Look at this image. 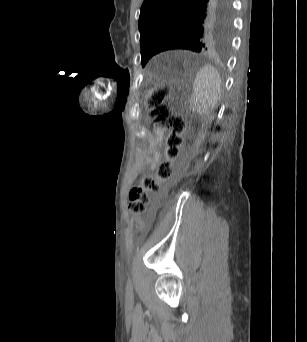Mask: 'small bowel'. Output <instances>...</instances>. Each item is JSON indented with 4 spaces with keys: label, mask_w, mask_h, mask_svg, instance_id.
Here are the masks:
<instances>
[{
    "label": "small bowel",
    "mask_w": 307,
    "mask_h": 342,
    "mask_svg": "<svg viewBox=\"0 0 307 342\" xmlns=\"http://www.w3.org/2000/svg\"><path fill=\"white\" fill-rule=\"evenodd\" d=\"M155 134H156V137H155L154 143H155V145H158L163 140L164 132H163V130L156 128ZM160 159H161L160 153L159 152H153L152 161H151V165H150V171H152L154 169L155 165L160 161Z\"/></svg>",
    "instance_id": "small-bowel-1"
}]
</instances>
